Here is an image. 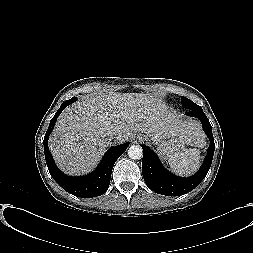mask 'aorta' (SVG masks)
Here are the masks:
<instances>
[{
	"mask_svg": "<svg viewBox=\"0 0 253 253\" xmlns=\"http://www.w3.org/2000/svg\"><path fill=\"white\" fill-rule=\"evenodd\" d=\"M128 156L133 160H139L143 157V149L139 145H132L128 148Z\"/></svg>",
	"mask_w": 253,
	"mask_h": 253,
	"instance_id": "obj_1",
	"label": "aorta"
}]
</instances>
